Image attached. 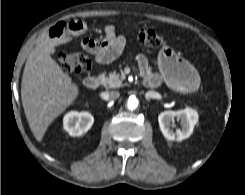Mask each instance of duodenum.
<instances>
[{"label":"duodenum","mask_w":245,"mask_h":195,"mask_svg":"<svg viewBox=\"0 0 245 195\" xmlns=\"http://www.w3.org/2000/svg\"><path fill=\"white\" fill-rule=\"evenodd\" d=\"M100 78L94 75H89L84 79V86L87 89L94 90L100 86ZM143 85L147 88H156L160 84V80L153 76H144Z\"/></svg>","instance_id":"1"}]
</instances>
